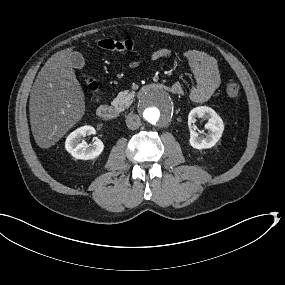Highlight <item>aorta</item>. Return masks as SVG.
<instances>
[{"mask_svg":"<svg viewBox=\"0 0 285 285\" xmlns=\"http://www.w3.org/2000/svg\"><path fill=\"white\" fill-rule=\"evenodd\" d=\"M140 113L142 118L150 125H167L176 116V99L167 90H150L141 99Z\"/></svg>","mask_w":285,"mask_h":285,"instance_id":"obj_1","label":"aorta"}]
</instances>
